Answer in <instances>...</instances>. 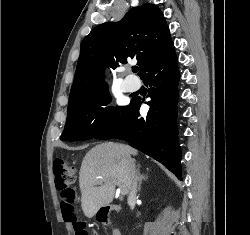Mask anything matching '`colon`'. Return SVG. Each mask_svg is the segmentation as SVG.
Masks as SVG:
<instances>
[{"instance_id": "colon-1", "label": "colon", "mask_w": 250, "mask_h": 235, "mask_svg": "<svg viewBox=\"0 0 250 235\" xmlns=\"http://www.w3.org/2000/svg\"><path fill=\"white\" fill-rule=\"evenodd\" d=\"M54 176L60 192V207L64 220L73 226L75 235H88L85 223L77 217L75 210L76 193L70 188L76 181L75 168L63 160H57L54 163Z\"/></svg>"}]
</instances>
